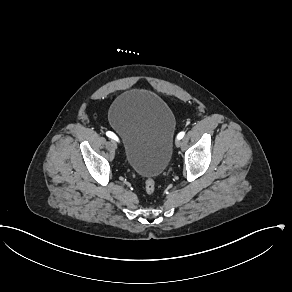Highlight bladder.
Wrapping results in <instances>:
<instances>
[{
	"instance_id": "1",
	"label": "bladder",
	"mask_w": 292,
	"mask_h": 292,
	"mask_svg": "<svg viewBox=\"0 0 292 292\" xmlns=\"http://www.w3.org/2000/svg\"><path fill=\"white\" fill-rule=\"evenodd\" d=\"M109 122L121 138L125 161L132 171L150 178L166 169L176 119L160 96L142 89L121 93L111 105Z\"/></svg>"
}]
</instances>
